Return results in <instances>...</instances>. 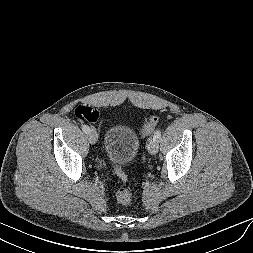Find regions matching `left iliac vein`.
Wrapping results in <instances>:
<instances>
[{
	"instance_id": "left-iliac-vein-1",
	"label": "left iliac vein",
	"mask_w": 253,
	"mask_h": 253,
	"mask_svg": "<svg viewBox=\"0 0 253 253\" xmlns=\"http://www.w3.org/2000/svg\"><path fill=\"white\" fill-rule=\"evenodd\" d=\"M147 148L150 154L155 155L159 149V141L154 137L151 138L148 142Z\"/></svg>"
}]
</instances>
